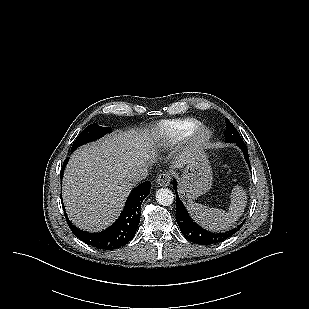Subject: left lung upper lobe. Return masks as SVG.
I'll return each mask as SVG.
<instances>
[{"mask_svg":"<svg viewBox=\"0 0 309 309\" xmlns=\"http://www.w3.org/2000/svg\"><path fill=\"white\" fill-rule=\"evenodd\" d=\"M226 130H225V136H226V142H242V138L236 128L233 126V124L226 119Z\"/></svg>","mask_w":309,"mask_h":309,"instance_id":"1","label":"left lung upper lobe"}]
</instances>
